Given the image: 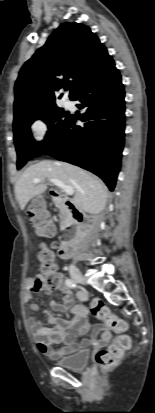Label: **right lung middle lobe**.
Returning <instances> with one entry per match:
<instances>
[{
    "mask_svg": "<svg viewBox=\"0 0 155 413\" xmlns=\"http://www.w3.org/2000/svg\"><path fill=\"white\" fill-rule=\"evenodd\" d=\"M69 115L68 112L56 106L13 123L14 141L17 151V169L23 167L30 159L42 155L64 129ZM36 119H41L48 125L47 134L41 142H36L30 132V125Z\"/></svg>",
    "mask_w": 155,
    "mask_h": 413,
    "instance_id": "1",
    "label": "right lung middle lobe"
}]
</instances>
